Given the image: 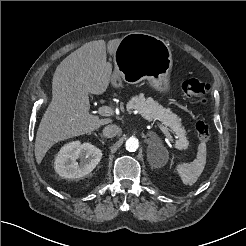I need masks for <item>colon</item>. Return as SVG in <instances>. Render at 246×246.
Returning <instances> with one entry per match:
<instances>
[{"instance_id": "colon-1", "label": "colon", "mask_w": 246, "mask_h": 246, "mask_svg": "<svg viewBox=\"0 0 246 246\" xmlns=\"http://www.w3.org/2000/svg\"><path fill=\"white\" fill-rule=\"evenodd\" d=\"M182 89L185 95L192 98L199 104L206 102V94L211 89V85L198 78H190L182 83ZM196 131L202 141H207L211 137V128L205 121L196 123Z\"/></svg>"}]
</instances>
